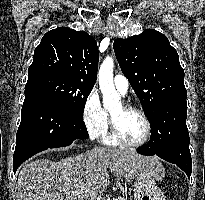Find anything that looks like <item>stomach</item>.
<instances>
[{
	"instance_id": "0dacf381",
	"label": "stomach",
	"mask_w": 205,
	"mask_h": 200,
	"mask_svg": "<svg viewBox=\"0 0 205 200\" xmlns=\"http://www.w3.org/2000/svg\"><path fill=\"white\" fill-rule=\"evenodd\" d=\"M158 175L162 173V165L158 162L155 165ZM157 177L140 175L133 184L134 200H165L161 189L156 185Z\"/></svg>"
}]
</instances>
